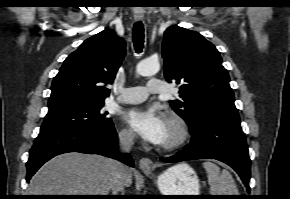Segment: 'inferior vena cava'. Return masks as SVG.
I'll use <instances>...</instances> for the list:
<instances>
[{
  "instance_id": "1",
  "label": "inferior vena cava",
  "mask_w": 290,
  "mask_h": 199,
  "mask_svg": "<svg viewBox=\"0 0 290 199\" xmlns=\"http://www.w3.org/2000/svg\"><path fill=\"white\" fill-rule=\"evenodd\" d=\"M135 134L133 131H122L119 133V147L122 152H130L134 144ZM115 163V171L112 177L111 191L112 195H118V192L123 191L124 174L126 167L117 161Z\"/></svg>"
}]
</instances>
